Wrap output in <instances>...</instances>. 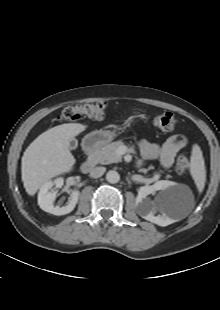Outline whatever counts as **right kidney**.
<instances>
[{
    "label": "right kidney",
    "instance_id": "ca27d5eb",
    "mask_svg": "<svg viewBox=\"0 0 220 310\" xmlns=\"http://www.w3.org/2000/svg\"><path fill=\"white\" fill-rule=\"evenodd\" d=\"M63 184H64V179L62 177H59L55 179L54 181H48L41 186L39 194H38V205L40 206L42 210H44L45 212L54 214V215H58V216L65 215L73 211L79 198L78 190L72 191L67 205L62 206V207L53 205L56 199V191H54L52 188L53 186H55V189L61 188Z\"/></svg>",
    "mask_w": 220,
    "mask_h": 310
}]
</instances>
